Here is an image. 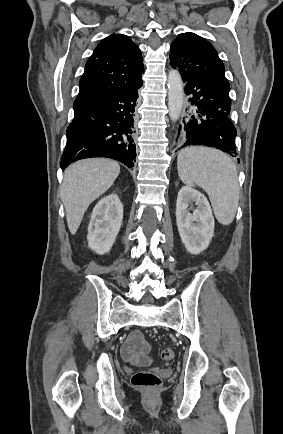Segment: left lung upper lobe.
<instances>
[{"label": "left lung upper lobe", "instance_id": "obj_1", "mask_svg": "<svg viewBox=\"0 0 283 434\" xmlns=\"http://www.w3.org/2000/svg\"><path fill=\"white\" fill-rule=\"evenodd\" d=\"M170 64L230 91L217 51L197 34L186 32L177 36L171 44Z\"/></svg>", "mask_w": 283, "mask_h": 434}]
</instances>
